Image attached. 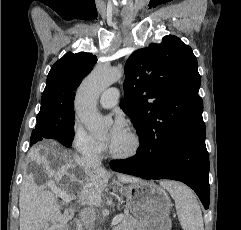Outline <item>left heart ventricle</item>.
Wrapping results in <instances>:
<instances>
[{"mask_svg": "<svg viewBox=\"0 0 241 230\" xmlns=\"http://www.w3.org/2000/svg\"><path fill=\"white\" fill-rule=\"evenodd\" d=\"M131 145V138L128 132H126V134L120 139V141L111 149L115 152L123 153L128 151L131 148Z\"/></svg>", "mask_w": 241, "mask_h": 230, "instance_id": "left-heart-ventricle-1", "label": "left heart ventricle"}]
</instances>
